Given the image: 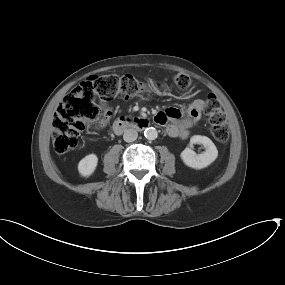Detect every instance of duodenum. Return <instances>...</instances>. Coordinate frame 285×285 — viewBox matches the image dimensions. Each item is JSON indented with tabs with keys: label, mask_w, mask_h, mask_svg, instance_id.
Returning <instances> with one entry per match:
<instances>
[{
	"label": "duodenum",
	"mask_w": 285,
	"mask_h": 285,
	"mask_svg": "<svg viewBox=\"0 0 285 285\" xmlns=\"http://www.w3.org/2000/svg\"><path fill=\"white\" fill-rule=\"evenodd\" d=\"M150 126L149 120L145 118L122 117L117 119L112 125V131L116 135L122 134L126 129L137 131L145 130Z\"/></svg>",
	"instance_id": "duodenum-1"
}]
</instances>
